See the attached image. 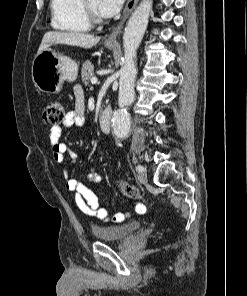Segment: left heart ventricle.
Returning a JSON list of instances; mask_svg holds the SVG:
<instances>
[{
    "instance_id": "1",
    "label": "left heart ventricle",
    "mask_w": 247,
    "mask_h": 296,
    "mask_svg": "<svg viewBox=\"0 0 247 296\" xmlns=\"http://www.w3.org/2000/svg\"><path fill=\"white\" fill-rule=\"evenodd\" d=\"M88 3L90 7L93 8L98 13L99 0H88Z\"/></svg>"
}]
</instances>
